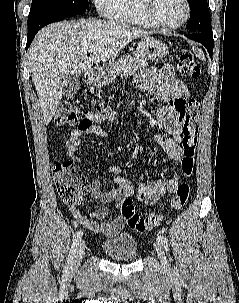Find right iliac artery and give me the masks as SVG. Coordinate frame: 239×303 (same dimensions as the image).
<instances>
[{
	"label": "right iliac artery",
	"instance_id": "82829eb1",
	"mask_svg": "<svg viewBox=\"0 0 239 303\" xmlns=\"http://www.w3.org/2000/svg\"><path fill=\"white\" fill-rule=\"evenodd\" d=\"M82 235H83L82 231H79L73 239V243H72L68 258H67V262H66V265L64 267V272L65 273H68L69 270L72 268L73 260H74L77 248H78V246L81 242Z\"/></svg>",
	"mask_w": 239,
	"mask_h": 303
}]
</instances>
